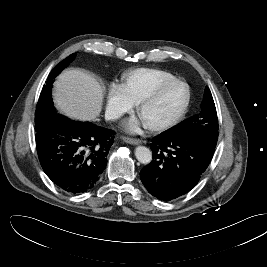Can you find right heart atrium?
Wrapping results in <instances>:
<instances>
[{"mask_svg": "<svg viewBox=\"0 0 267 267\" xmlns=\"http://www.w3.org/2000/svg\"><path fill=\"white\" fill-rule=\"evenodd\" d=\"M133 107L134 103L129 99L123 85L111 84L107 95L106 116L111 120H117Z\"/></svg>", "mask_w": 267, "mask_h": 267, "instance_id": "obj_1", "label": "right heart atrium"}]
</instances>
